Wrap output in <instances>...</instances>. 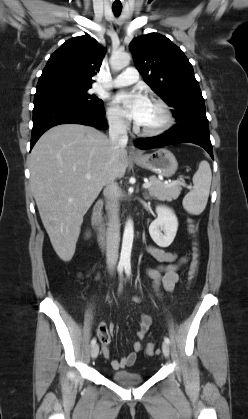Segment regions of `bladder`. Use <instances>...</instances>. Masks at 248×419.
Listing matches in <instances>:
<instances>
[{"mask_svg":"<svg viewBox=\"0 0 248 419\" xmlns=\"http://www.w3.org/2000/svg\"><path fill=\"white\" fill-rule=\"evenodd\" d=\"M110 377L115 383L126 387L137 386L144 381L143 375L129 370L113 371Z\"/></svg>","mask_w":248,"mask_h":419,"instance_id":"1","label":"bladder"}]
</instances>
